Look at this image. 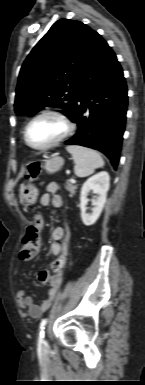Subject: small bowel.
<instances>
[{
    "label": "small bowel",
    "instance_id": "c3829d8e",
    "mask_svg": "<svg viewBox=\"0 0 145 385\" xmlns=\"http://www.w3.org/2000/svg\"><path fill=\"white\" fill-rule=\"evenodd\" d=\"M59 185L56 182H50L46 187V193L40 197V204L42 206L52 205L55 208L63 206V199L58 194ZM52 243L50 250L52 254L58 256L52 265L53 272L49 270H42L38 274V281L42 285L49 284L48 297L44 299L40 304L33 302L32 298L26 294L24 290L17 292L18 306L28 312L32 318H39L50 307L53 299L58 293L62 284L63 271L66 268V255L69 242V231L66 227L61 225L56 226L52 231ZM65 256V264L61 271L56 272L54 270V264L62 257Z\"/></svg>",
    "mask_w": 145,
    "mask_h": 385
}]
</instances>
